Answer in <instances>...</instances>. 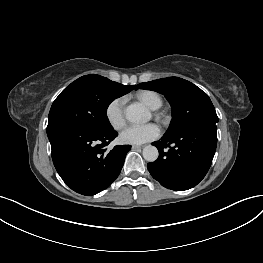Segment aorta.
Masks as SVG:
<instances>
[{
  "instance_id": "762f6f07",
  "label": "aorta",
  "mask_w": 263,
  "mask_h": 263,
  "mask_svg": "<svg viewBox=\"0 0 263 263\" xmlns=\"http://www.w3.org/2000/svg\"><path fill=\"white\" fill-rule=\"evenodd\" d=\"M126 119L132 123H145L150 120L149 111L140 103H133L125 109ZM143 157L148 162L157 160L159 152L155 146L147 145L143 148Z\"/></svg>"
}]
</instances>
